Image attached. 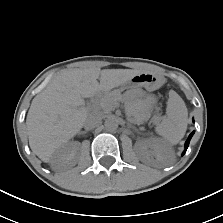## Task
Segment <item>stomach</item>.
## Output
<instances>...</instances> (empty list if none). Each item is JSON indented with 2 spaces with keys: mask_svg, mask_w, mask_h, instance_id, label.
Wrapping results in <instances>:
<instances>
[{
  "mask_svg": "<svg viewBox=\"0 0 223 223\" xmlns=\"http://www.w3.org/2000/svg\"><path fill=\"white\" fill-rule=\"evenodd\" d=\"M163 78L152 72H141L135 75L128 83L121 85V90L145 88L151 92L159 89L163 85Z\"/></svg>",
  "mask_w": 223,
  "mask_h": 223,
  "instance_id": "obj_1",
  "label": "stomach"
}]
</instances>
